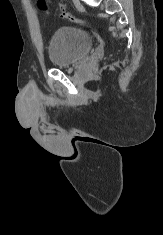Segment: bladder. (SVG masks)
<instances>
[{
	"instance_id": "obj_1",
	"label": "bladder",
	"mask_w": 163,
	"mask_h": 235,
	"mask_svg": "<svg viewBox=\"0 0 163 235\" xmlns=\"http://www.w3.org/2000/svg\"><path fill=\"white\" fill-rule=\"evenodd\" d=\"M91 33L78 26H63L52 35L49 56L58 67H67L89 54L94 48Z\"/></svg>"
}]
</instances>
